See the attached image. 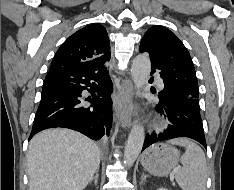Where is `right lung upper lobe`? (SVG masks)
Returning a JSON list of instances; mask_svg holds the SVG:
<instances>
[{
    "instance_id": "cb5924a9",
    "label": "right lung upper lobe",
    "mask_w": 234,
    "mask_h": 190,
    "mask_svg": "<svg viewBox=\"0 0 234 190\" xmlns=\"http://www.w3.org/2000/svg\"><path fill=\"white\" fill-rule=\"evenodd\" d=\"M93 59H110L107 31L98 23L88 25L71 35L56 52L50 70Z\"/></svg>"
}]
</instances>
